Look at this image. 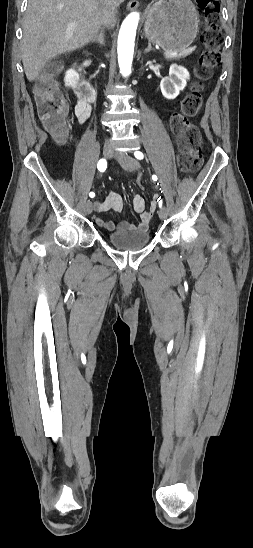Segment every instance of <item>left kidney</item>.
Returning a JSON list of instances; mask_svg holds the SVG:
<instances>
[{
	"mask_svg": "<svg viewBox=\"0 0 253 548\" xmlns=\"http://www.w3.org/2000/svg\"><path fill=\"white\" fill-rule=\"evenodd\" d=\"M190 74L184 67L172 64L169 69V76L162 78L160 89L162 95L169 100L175 99L180 91L184 90Z\"/></svg>",
	"mask_w": 253,
	"mask_h": 548,
	"instance_id": "5707ae66",
	"label": "left kidney"
}]
</instances>
